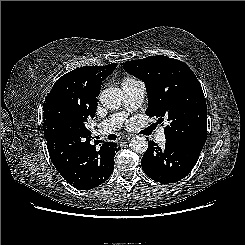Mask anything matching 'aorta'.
Masks as SVG:
<instances>
[{"mask_svg":"<svg viewBox=\"0 0 245 245\" xmlns=\"http://www.w3.org/2000/svg\"><path fill=\"white\" fill-rule=\"evenodd\" d=\"M122 100L123 93L116 87L107 88L100 94V102L108 109H118ZM129 147L136 153H144L148 148V141L144 136H136L131 139Z\"/></svg>","mask_w":245,"mask_h":245,"instance_id":"aorta-1","label":"aorta"}]
</instances>
